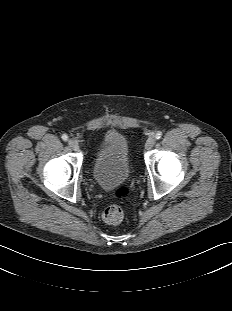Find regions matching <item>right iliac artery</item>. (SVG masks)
I'll list each match as a JSON object with an SVG mask.
<instances>
[{
  "label": "right iliac artery",
  "mask_w": 232,
  "mask_h": 311,
  "mask_svg": "<svg viewBox=\"0 0 232 311\" xmlns=\"http://www.w3.org/2000/svg\"><path fill=\"white\" fill-rule=\"evenodd\" d=\"M62 139H63L64 141H67V140H68V136H67L66 134H63V135H62Z\"/></svg>",
  "instance_id": "82829eb1"
}]
</instances>
